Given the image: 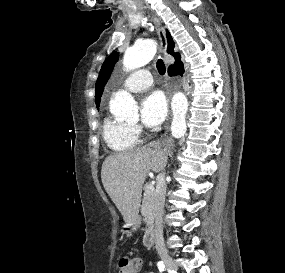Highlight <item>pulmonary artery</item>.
Listing matches in <instances>:
<instances>
[{"mask_svg":"<svg viewBox=\"0 0 285 273\" xmlns=\"http://www.w3.org/2000/svg\"><path fill=\"white\" fill-rule=\"evenodd\" d=\"M153 84L151 72L147 69H138L126 77L123 86L130 91H141Z\"/></svg>","mask_w":285,"mask_h":273,"instance_id":"1","label":"pulmonary artery"}]
</instances>
